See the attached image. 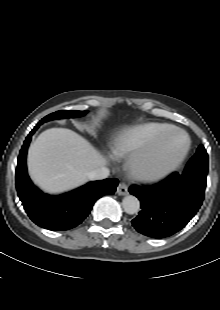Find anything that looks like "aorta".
Here are the masks:
<instances>
[{"instance_id": "aorta-1", "label": "aorta", "mask_w": 220, "mask_h": 310, "mask_svg": "<svg viewBox=\"0 0 220 310\" xmlns=\"http://www.w3.org/2000/svg\"><path fill=\"white\" fill-rule=\"evenodd\" d=\"M122 206L127 214L133 215L139 211L140 202L135 196L127 195L122 201Z\"/></svg>"}]
</instances>
